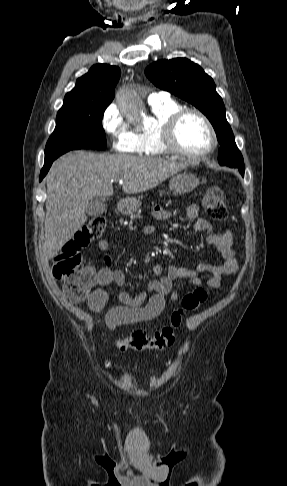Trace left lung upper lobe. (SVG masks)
<instances>
[{
    "label": "left lung upper lobe",
    "mask_w": 287,
    "mask_h": 486,
    "mask_svg": "<svg viewBox=\"0 0 287 486\" xmlns=\"http://www.w3.org/2000/svg\"><path fill=\"white\" fill-rule=\"evenodd\" d=\"M145 74L160 89L186 100L203 112L221 144L219 164L236 167L240 173L245 171L242 154L226 120L223 100L216 92L213 79L199 65L186 58L159 60L149 65Z\"/></svg>",
    "instance_id": "left-lung-upper-lobe-1"
}]
</instances>
